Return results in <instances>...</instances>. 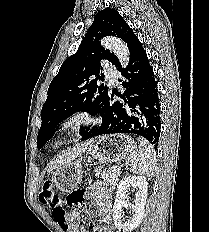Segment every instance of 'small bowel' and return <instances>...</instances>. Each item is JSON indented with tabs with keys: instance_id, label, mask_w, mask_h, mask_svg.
I'll return each mask as SVG.
<instances>
[{
	"instance_id": "c3829d8e",
	"label": "small bowel",
	"mask_w": 209,
	"mask_h": 232,
	"mask_svg": "<svg viewBox=\"0 0 209 232\" xmlns=\"http://www.w3.org/2000/svg\"><path fill=\"white\" fill-rule=\"evenodd\" d=\"M89 185H76V190H70L67 194V205L71 208H78L81 205H85L86 199H88ZM89 197L95 201V205L98 209L101 222H107L112 218V205L109 194L104 188L98 184L94 185ZM79 219V212L74 210L66 214L67 227H60L65 232H89L87 230H80L76 224ZM94 232H115L114 228L107 226L105 228L95 227Z\"/></svg>"
}]
</instances>
